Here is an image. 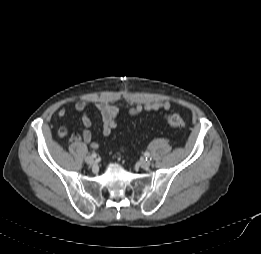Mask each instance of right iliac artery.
<instances>
[{"label":"right iliac artery","instance_id":"1","mask_svg":"<svg viewBox=\"0 0 261 254\" xmlns=\"http://www.w3.org/2000/svg\"><path fill=\"white\" fill-rule=\"evenodd\" d=\"M93 158H95L97 155H96V153H92V155H91Z\"/></svg>","mask_w":261,"mask_h":254}]
</instances>
